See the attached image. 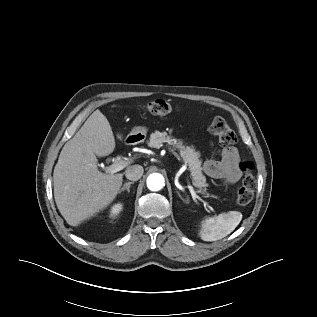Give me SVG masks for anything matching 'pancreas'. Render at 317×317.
Masks as SVG:
<instances>
[{"label": "pancreas", "mask_w": 317, "mask_h": 317, "mask_svg": "<svg viewBox=\"0 0 317 317\" xmlns=\"http://www.w3.org/2000/svg\"><path fill=\"white\" fill-rule=\"evenodd\" d=\"M163 143L172 146L174 149L179 150V154L183 161L188 164L191 176L193 177L194 186L198 187L199 193L206 194V177L202 174V160L200 153L194 147L186 146L182 140L173 138L167 132L155 131L150 136L148 145L153 148H160Z\"/></svg>", "instance_id": "pancreas-1"}]
</instances>
